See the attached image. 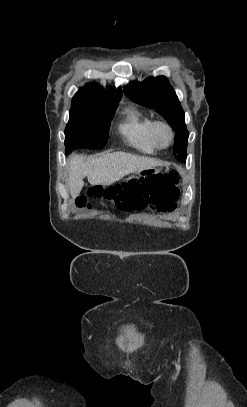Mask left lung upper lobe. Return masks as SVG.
Returning <instances> with one entry per match:
<instances>
[{"instance_id":"left-lung-upper-lobe-1","label":"left lung upper lobe","mask_w":247,"mask_h":407,"mask_svg":"<svg viewBox=\"0 0 247 407\" xmlns=\"http://www.w3.org/2000/svg\"><path fill=\"white\" fill-rule=\"evenodd\" d=\"M124 93L132 101L155 109L168 121L176 131L173 154L177 160L186 162L189 133L184 111L168 79L158 76L142 82L132 81L124 88Z\"/></svg>"}]
</instances>
